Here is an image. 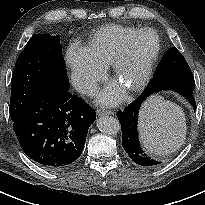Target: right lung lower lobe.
Instances as JSON below:
<instances>
[{"mask_svg": "<svg viewBox=\"0 0 205 205\" xmlns=\"http://www.w3.org/2000/svg\"><path fill=\"white\" fill-rule=\"evenodd\" d=\"M68 90L44 93L13 121L24 153L52 171L76 163L96 119L94 110Z\"/></svg>", "mask_w": 205, "mask_h": 205, "instance_id": "obj_1", "label": "right lung lower lobe"}]
</instances>
